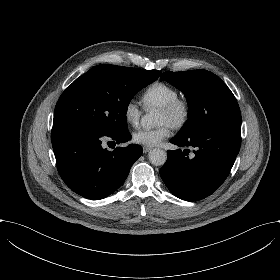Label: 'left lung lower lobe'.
I'll list each match as a JSON object with an SVG mask.
<instances>
[{
	"mask_svg": "<svg viewBox=\"0 0 280 280\" xmlns=\"http://www.w3.org/2000/svg\"><path fill=\"white\" fill-rule=\"evenodd\" d=\"M170 142L196 147L195 156L187 157V149L169 150L161 178L176 197L198 201L211 195L227 178L240 150L241 122L210 126L188 136L176 135Z\"/></svg>",
	"mask_w": 280,
	"mask_h": 280,
	"instance_id": "0a47b994",
	"label": "left lung lower lobe"
}]
</instances>
